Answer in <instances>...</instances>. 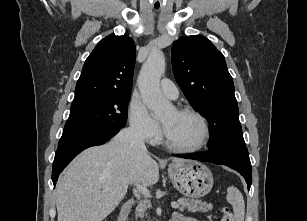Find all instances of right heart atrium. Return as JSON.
Masks as SVG:
<instances>
[{
  "label": "right heart atrium",
  "instance_id": "1",
  "mask_svg": "<svg viewBox=\"0 0 307 221\" xmlns=\"http://www.w3.org/2000/svg\"><path fill=\"white\" fill-rule=\"evenodd\" d=\"M129 122L132 130L144 141L156 143L161 138L159 123L150 115L145 104L133 97L129 104Z\"/></svg>",
  "mask_w": 307,
  "mask_h": 221
}]
</instances>
